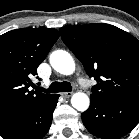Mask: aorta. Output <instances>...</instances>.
<instances>
[{"label":"aorta","instance_id":"762f6f07","mask_svg":"<svg viewBox=\"0 0 139 139\" xmlns=\"http://www.w3.org/2000/svg\"><path fill=\"white\" fill-rule=\"evenodd\" d=\"M50 64L54 70L63 75H71L75 71V62L72 56L64 50H57L50 55ZM72 106L81 112L89 108V97L83 92H76L71 98Z\"/></svg>","mask_w":139,"mask_h":139}]
</instances>
